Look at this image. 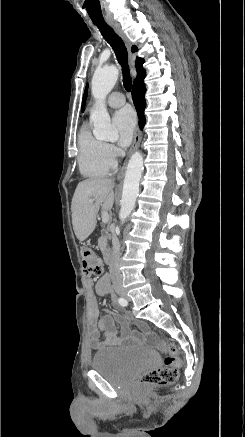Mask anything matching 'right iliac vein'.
Masks as SVG:
<instances>
[{
  "label": "right iliac vein",
  "mask_w": 245,
  "mask_h": 437,
  "mask_svg": "<svg viewBox=\"0 0 245 437\" xmlns=\"http://www.w3.org/2000/svg\"><path fill=\"white\" fill-rule=\"evenodd\" d=\"M122 296H125L124 292H119Z\"/></svg>",
  "instance_id": "right-iliac-vein-1"
}]
</instances>
